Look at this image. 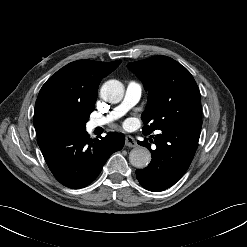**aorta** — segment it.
<instances>
[{"label": "aorta", "mask_w": 247, "mask_h": 247, "mask_svg": "<svg viewBox=\"0 0 247 247\" xmlns=\"http://www.w3.org/2000/svg\"><path fill=\"white\" fill-rule=\"evenodd\" d=\"M101 98L109 103H119L124 96V86L117 80L105 82L100 90ZM129 161L136 168L143 169L151 161L150 151L142 146L136 147L130 151Z\"/></svg>", "instance_id": "1"}]
</instances>
